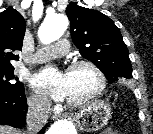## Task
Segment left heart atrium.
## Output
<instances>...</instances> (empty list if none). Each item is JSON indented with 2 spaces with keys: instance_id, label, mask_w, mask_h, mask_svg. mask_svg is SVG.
<instances>
[{
  "instance_id": "left-heart-atrium-1",
  "label": "left heart atrium",
  "mask_w": 153,
  "mask_h": 134,
  "mask_svg": "<svg viewBox=\"0 0 153 134\" xmlns=\"http://www.w3.org/2000/svg\"><path fill=\"white\" fill-rule=\"evenodd\" d=\"M38 90L55 100L66 99L68 94V73L55 68H46L36 73L31 80Z\"/></svg>"
}]
</instances>
